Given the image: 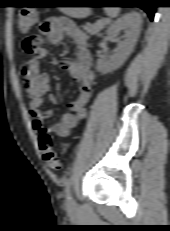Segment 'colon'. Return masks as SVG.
Segmentation results:
<instances>
[{"label": "colon", "mask_w": 170, "mask_h": 231, "mask_svg": "<svg viewBox=\"0 0 170 231\" xmlns=\"http://www.w3.org/2000/svg\"><path fill=\"white\" fill-rule=\"evenodd\" d=\"M17 20L20 31L27 32L36 24L38 15L34 9L24 7L19 11ZM38 46L39 39L37 36H28L23 40L22 43L23 50L29 54L34 53ZM38 144L43 160L47 166L52 170H58L61 164L50 134L41 133L38 138Z\"/></svg>", "instance_id": "1"}]
</instances>
